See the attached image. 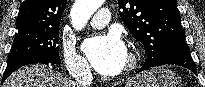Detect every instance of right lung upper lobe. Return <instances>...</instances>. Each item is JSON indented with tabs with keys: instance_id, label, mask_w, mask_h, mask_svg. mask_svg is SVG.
I'll return each mask as SVG.
<instances>
[{
	"instance_id": "obj_1",
	"label": "right lung upper lobe",
	"mask_w": 205,
	"mask_h": 87,
	"mask_svg": "<svg viewBox=\"0 0 205 87\" xmlns=\"http://www.w3.org/2000/svg\"><path fill=\"white\" fill-rule=\"evenodd\" d=\"M67 0H25L16 19L19 31L58 29Z\"/></svg>"
}]
</instances>
